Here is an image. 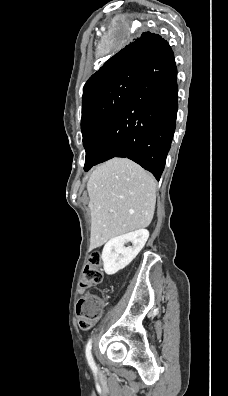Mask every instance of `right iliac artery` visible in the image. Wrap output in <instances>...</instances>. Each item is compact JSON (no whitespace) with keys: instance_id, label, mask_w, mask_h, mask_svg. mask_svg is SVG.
<instances>
[{"instance_id":"1","label":"right iliac artery","mask_w":228,"mask_h":396,"mask_svg":"<svg viewBox=\"0 0 228 396\" xmlns=\"http://www.w3.org/2000/svg\"><path fill=\"white\" fill-rule=\"evenodd\" d=\"M91 348H92V339H90L86 345V358L92 370H96V366L91 353Z\"/></svg>"}]
</instances>
